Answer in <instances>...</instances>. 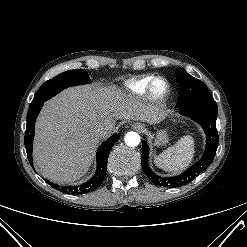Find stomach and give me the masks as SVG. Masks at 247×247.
<instances>
[{
    "instance_id": "stomach-1",
    "label": "stomach",
    "mask_w": 247,
    "mask_h": 247,
    "mask_svg": "<svg viewBox=\"0 0 247 247\" xmlns=\"http://www.w3.org/2000/svg\"><path fill=\"white\" fill-rule=\"evenodd\" d=\"M169 141L168 134L166 130H158L156 136L154 137V146H165Z\"/></svg>"
}]
</instances>
